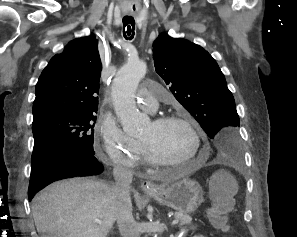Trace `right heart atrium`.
Listing matches in <instances>:
<instances>
[{
	"mask_svg": "<svg viewBox=\"0 0 297 237\" xmlns=\"http://www.w3.org/2000/svg\"><path fill=\"white\" fill-rule=\"evenodd\" d=\"M100 142L105 158L115 166L135 168L140 159V143L129 137L115 122L105 116L100 122Z\"/></svg>",
	"mask_w": 297,
	"mask_h": 237,
	"instance_id": "1",
	"label": "right heart atrium"
}]
</instances>
